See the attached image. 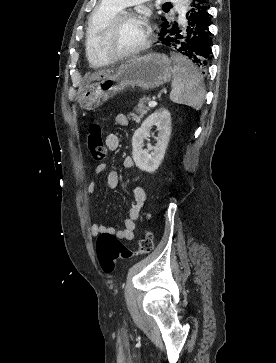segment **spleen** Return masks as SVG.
<instances>
[{"label": "spleen", "instance_id": "spleen-1", "mask_svg": "<svg viewBox=\"0 0 276 363\" xmlns=\"http://www.w3.org/2000/svg\"><path fill=\"white\" fill-rule=\"evenodd\" d=\"M173 80L170 99L174 103L201 109L205 97L203 77L190 60L180 54H172Z\"/></svg>", "mask_w": 276, "mask_h": 363}]
</instances>
